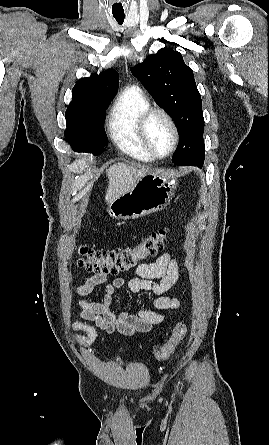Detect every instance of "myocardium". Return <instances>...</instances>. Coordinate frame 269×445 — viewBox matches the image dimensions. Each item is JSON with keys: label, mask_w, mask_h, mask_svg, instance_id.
<instances>
[{"label": "myocardium", "mask_w": 269, "mask_h": 445, "mask_svg": "<svg viewBox=\"0 0 269 445\" xmlns=\"http://www.w3.org/2000/svg\"><path fill=\"white\" fill-rule=\"evenodd\" d=\"M157 114L163 116L168 121V123L172 129V133H173L172 146L169 149V151L164 155H160L154 150V148L150 144L148 136H147L148 123H149L150 119L154 115H157ZM138 134H139L140 140H141L143 146L145 147V149L155 159H165V158H168L169 156H171L174 153V151L176 150L178 143H179V139H180L179 129H178L175 119L168 111H166L163 108H159V107H150L141 115V117L139 119V123H138Z\"/></svg>", "instance_id": "obj_1"}]
</instances>
